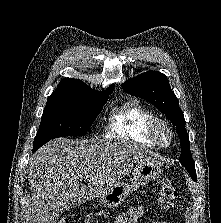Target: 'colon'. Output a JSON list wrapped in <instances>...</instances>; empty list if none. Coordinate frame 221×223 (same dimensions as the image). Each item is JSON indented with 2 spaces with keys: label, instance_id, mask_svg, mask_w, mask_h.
Here are the masks:
<instances>
[{
  "label": "colon",
  "instance_id": "obj_1",
  "mask_svg": "<svg viewBox=\"0 0 221 223\" xmlns=\"http://www.w3.org/2000/svg\"><path fill=\"white\" fill-rule=\"evenodd\" d=\"M177 190L169 182L165 181L162 183L158 197L157 204L162 211H169L175 207L177 202ZM57 223H70L68 218L62 217L58 219Z\"/></svg>",
  "mask_w": 221,
  "mask_h": 223
}]
</instances>
